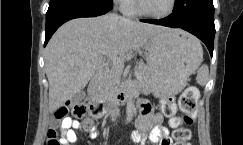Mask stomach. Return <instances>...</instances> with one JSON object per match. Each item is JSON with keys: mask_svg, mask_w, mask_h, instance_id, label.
I'll use <instances>...</instances> for the list:
<instances>
[{"mask_svg": "<svg viewBox=\"0 0 243 145\" xmlns=\"http://www.w3.org/2000/svg\"><path fill=\"white\" fill-rule=\"evenodd\" d=\"M146 61L152 91L169 97L180 93L198 67L201 45L192 35L169 29L153 35L146 43Z\"/></svg>", "mask_w": 243, "mask_h": 145, "instance_id": "0dacf381", "label": "stomach"}]
</instances>
